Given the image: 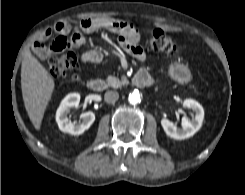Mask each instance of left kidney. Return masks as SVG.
Segmentation results:
<instances>
[{"mask_svg":"<svg viewBox=\"0 0 245 195\" xmlns=\"http://www.w3.org/2000/svg\"><path fill=\"white\" fill-rule=\"evenodd\" d=\"M183 106L191 109L195 113V117L189 119L187 116L182 118V128H177L171 121L166 118H162L161 125L167 136L176 139L183 140L193 136L202 126L204 119L203 107L193 99H185Z\"/></svg>","mask_w":245,"mask_h":195,"instance_id":"5707ae66","label":"left kidney"}]
</instances>
